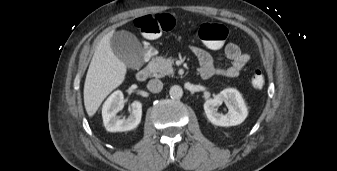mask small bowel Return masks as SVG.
Returning a JSON list of instances; mask_svg holds the SVG:
<instances>
[{"label": "small bowel", "mask_w": 337, "mask_h": 171, "mask_svg": "<svg viewBox=\"0 0 337 171\" xmlns=\"http://www.w3.org/2000/svg\"><path fill=\"white\" fill-rule=\"evenodd\" d=\"M191 51L200 64L199 72L203 79H209L215 75L235 78L240 74L250 59V56L242 52L239 46L234 43H228L224 47L225 55L231 61V64L225 68H216L213 57L207 50L193 46Z\"/></svg>", "instance_id": "c3829d8e"}]
</instances>
